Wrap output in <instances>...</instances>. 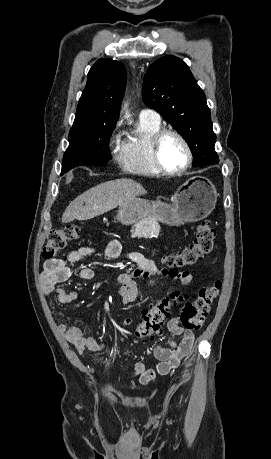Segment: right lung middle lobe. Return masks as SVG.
<instances>
[{"mask_svg":"<svg viewBox=\"0 0 271 459\" xmlns=\"http://www.w3.org/2000/svg\"><path fill=\"white\" fill-rule=\"evenodd\" d=\"M118 118H75L64 153L61 175L80 165H101L110 158L109 138Z\"/></svg>","mask_w":271,"mask_h":459,"instance_id":"obj_1","label":"right lung middle lobe"}]
</instances>
